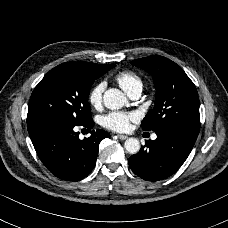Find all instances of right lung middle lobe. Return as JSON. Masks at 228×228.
<instances>
[{
  "instance_id": "dd1d6c3e",
  "label": "right lung middle lobe",
  "mask_w": 228,
  "mask_h": 228,
  "mask_svg": "<svg viewBox=\"0 0 228 228\" xmlns=\"http://www.w3.org/2000/svg\"><path fill=\"white\" fill-rule=\"evenodd\" d=\"M115 64L66 62L50 70L35 87L27 124L43 119H62L76 125L92 121L88 96L95 79Z\"/></svg>"
}]
</instances>
